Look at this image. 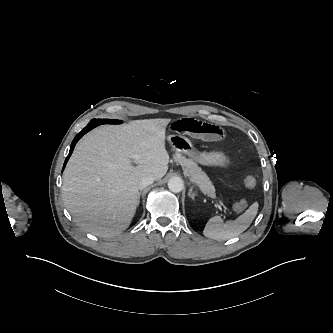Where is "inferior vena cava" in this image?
<instances>
[{
    "label": "inferior vena cava",
    "instance_id": "inferior-vena-cava-1",
    "mask_svg": "<svg viewBox=\"0 0 333 333\" xmlns=\"http://www.w3.org/2000/svg\"><path fill=\"white\" fill-rule=\"evenodd\" d=\"M155 181L153 176H144L139 184L138 187L140 190H143L144 188H146L147 186L151 185L153 182Z\"/></svg>",
    "mask_w": 333,
    "mask_h": 333
}]
</instances>
